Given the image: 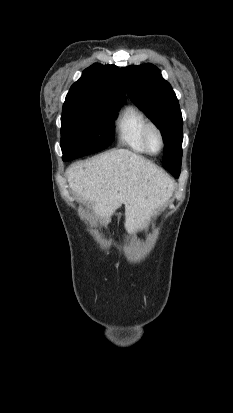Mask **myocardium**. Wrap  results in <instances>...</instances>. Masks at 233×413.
I'll use <instances>...</instances> for the list:
<instances>
[{"instance_id":"f54148a6","label":"myocardium","mask_w":233,"mask_h":413,"mask_svg":"<svg viewBox=\"0 0 233 413\" xmlns=\"http://www.w3.org/2000/svg\"><path fill=\"white\" fill-rule=\"evenodd\" d=\"M151 131H155L158 134L159 139H160V147H159L158 151H156V152L152 151L150 149V146H149L148 138H149V134H150ZM142 140H143V144L145 146V149H146L147 153H149L151 155L159 154L165 146L164 134H163L162 130L160 129V127L157 124L153 123V122H148L145 125V127L143 129V132H142Z\"/></svg>"}]
</instances>
